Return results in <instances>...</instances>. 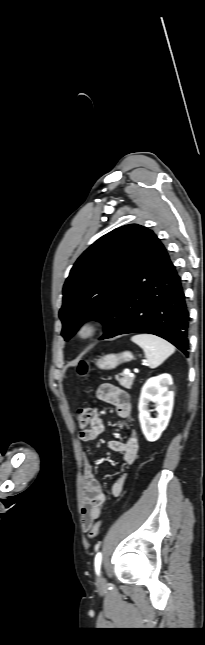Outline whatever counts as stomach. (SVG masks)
I'll return each instance as SVG.
<instances>
[{
	"instance_id": "0dacf381",
	"label": "stomach",
	"mask_w": 205,
	"mask_h": 645,
	"mask_svg": "<svg viewBox=\"0 0 205 645\" xmlns=\"http://www.w3.org/2000/svg\"><path fill=\"white\" fill-rule=\"evenodd\" d=\"M132 358L131 352L128 351L120 354H108L97 360L96 366L101 370H111L124 362L132 360Z\"/></svg>"
}]
</instances>
